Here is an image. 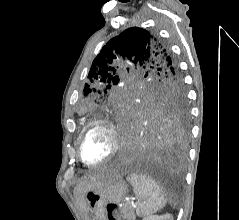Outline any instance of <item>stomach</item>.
Returning <instances> with one entry per match:
<instances>
[{
    "label": "stomach",
    "instance_id": "1",
    "mask_svg": "<svg viewBox=\"0 0 239 220\" xmlns=\"http://www.w3.org/2000/svg\"><path fill=\"white\" fill-rule=\"evenodd\" d=\"M127 193L128 186L120 178H114L106 185L88 191L85 195V203L89 219L123 220V212H118V210H122V205L117 204Z\"/></svg>",
    "mask_w": 239,
    "mask_h": 220
}]
</instances>
